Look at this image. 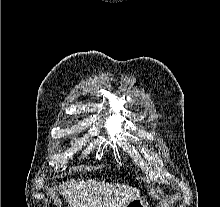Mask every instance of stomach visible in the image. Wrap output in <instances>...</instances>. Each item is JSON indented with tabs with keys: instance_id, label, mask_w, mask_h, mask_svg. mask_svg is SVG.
Returning <instances> with one entry per match:
<instances>
[{
	"instance_id": "stomach-1",
	"label": "stomach",
	"mask_w": 220,
	"mask_h": 207,
	"mask_svg": "<svg viewBox=\"0 0 220 207\" xmlns=\"http://www.w3.org/2000/svg\"><path fill=\"white\" fill-rule=\"evenodd\" d=\"M163 189L160 187H155L150 191V195H152L156 199H160L163 196ZM126 207H148V203L145 201L143 197H137L130 201Z\"/></svg>"
}]
</instances>
